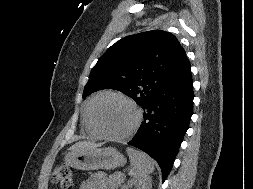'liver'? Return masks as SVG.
Instances as JSON below:
<instances>
[{
	"label": "liver",
	"instance_id": "liver-1",
	"mask_svg": "<svg viewBox=\"0 0 253 189\" xmlns=\"http://www.w3.org/2000/svg\"><path fill=\"white\" fill-rule=\"evenodd\" d=\"M99 146H101V145L96 144L94 142L80 141V142H77L74 145H72L70 147V151L76 152V151L85 150V149H94V148H98Z\"/></svg>",
	"mask_w": 253,
	"mask_h": 189
}]
</instances>
